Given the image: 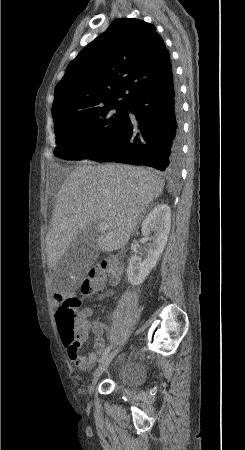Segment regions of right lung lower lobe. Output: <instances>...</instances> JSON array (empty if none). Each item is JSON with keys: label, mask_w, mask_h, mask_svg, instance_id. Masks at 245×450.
Masks as SVG:
<instances>
[{"label": "right lung lower lobe", "mask_w": 245, "mask_h": 450, "mask_svg": "<svg viewBox=\"0 0 245 450\" xmlns=\"http://www.w3.org/2000/svg\"><path fill=\"white\" fill-rule=\"evenodd\" d=\"M128 119L119 137L88 158L153 167L176 175L181 166V104L172 70L145 88L128 105Z\"/></svg>", "instance_id": "obj_1"}]
</instances>
